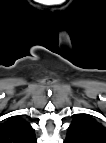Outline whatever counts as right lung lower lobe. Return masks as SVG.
Listing matches in <instances>:
<instances>
[{"label":"right lung lower lobe","mask_w":106,"mask_h":143,"mask_svg":"<svg viewBox=\"0 0 106 143\" xmlns=\"http://www.w3.org/2000/svg\"><path fill=\"white\" fill-rule=\"evenodd\" d=\"M30 143H37L36 139L34 138L33 141H31Z\"/></svg>","instance_id":"right-lung-lower-lobe-1"}]
</instances>
